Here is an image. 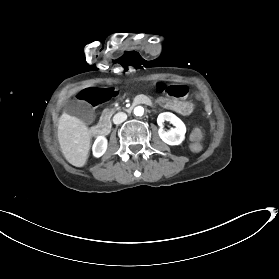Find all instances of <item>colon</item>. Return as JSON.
<instances>
[{"label": "colon", "mask_w": 279, "mask_h": 279, "mask_svg": "<svg viewBox=\"0 0 279 279\" xmlns=\"http://www.w3.org/2000/svg\"><path fill=\"white\" fill-rule=\"evenodd\" d=\"M192 136L194 138V140H200L201 139V131L200 130H194L193 133H192Z\"/></svg>", "instance_id": "colon-1"}]
</instances>
